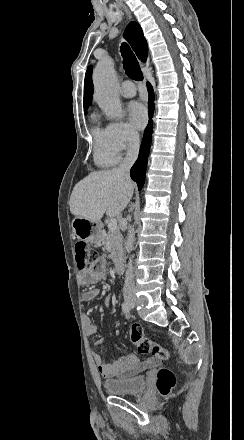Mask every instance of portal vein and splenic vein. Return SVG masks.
<instances>
[{"instance_id": "obj_1", "label": "portal vein and splenic vein", "mask_w": 244, "mask_h": 440, "mask_svg": "<svg viewBox=\"0 0 244 440\" xmlns=\"http://www.w3.org/2000/svg\"><path fill=\"white\" fill-rule=\"evenodd\" d=\"M108 230H117V220L109 218Z\"/></svg>"}]
</instances>
